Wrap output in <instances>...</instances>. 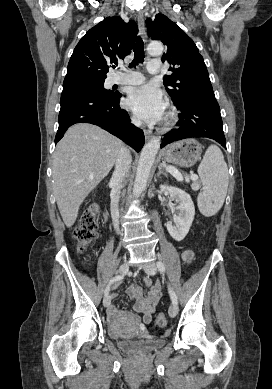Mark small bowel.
<instances>
[{
  "instance_id": "obj_1",
  "label": "small bowel",
  "mask_w": 272,
  "mask_h": 389,
  "mask_svg": "<svg viewBox=\"0 0 272 389\" xmlns=\"http://www.w3.org/2000/svg\"><path fill=\"white\" fill-rule=\"evenodd\" d=\"M192 258V251L185 250L182 252V259L186 264H189L192 261ZM143 282L144 285L148 288L146 292H144L142 288L136 284H131L127 288L129 297L135 302L133 306L134 312L143 314L140 320L131 312L119 311L115 308H111L110 314L117 318L122 317L132 320H139L141 330L145 331V326L151 323L152 315L155 312L156 306L160 300L161 287L159 282L153 284L151 278L148 276L144 277ZM112 297L114 298L115 295H112Z\"/></svg>"
}]
</instances>
